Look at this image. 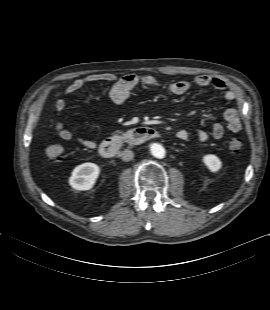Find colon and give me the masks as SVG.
<instances>
[{
  "mask_svg": "<svg viewBox=\"0 0 270 310\" xmlns=\"http://www.w3.org/2000/svg\"><path fill=\"white\" fill-rule=\"evenodd\" d=\"M229 149L232 152H239L242 148V141L239 138L233 137L228 142ZM46 157L50 161H59L64 154V148L59 144H53L46 148Z\"/></svg>",
  "mask_w": 270,
  "mask_h": 310,
  "instance_id": "colon-1",
  "label": "colon"
}]
</instances>
